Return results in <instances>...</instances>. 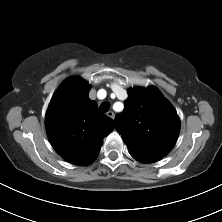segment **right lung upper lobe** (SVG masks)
Instances as JSON below:
<instances>
[{"label": "right lung upper lobe", "mask_w": 222, "mask_h": 222, "mask_svg": "<svg viewBox=\"0 0 222 222\" xmlns=\"http://www.w3.org/2000/svg\"><path fill=\"white\" fill-rule=\"evenodd\" d=\"M90 85L80 77L66 79L57 89L46 113V131L53 148L75 165L94 162L103 138L114 129V121L99 113L88 97Z\"/></svg>", "instance_id": "right-lung-upper-lobe-1"}]
</instances>
